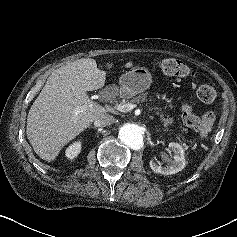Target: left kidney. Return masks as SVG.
I'll return each mask as SVG.
<instances>
[{
  "label": "left kidney",
  "instance_id": "1",
  "mask_svg": "<svg viewBox=\"0 0 237 237\" xmlns=\"http://www.w3.org/2000/svg\"><path fill=\"white\" fill-rule=\"evenodd\" d=\"M169 149L174 154L173 160L166 158L168 165L166 167H162L154 162L152 159L150 161V168L155 173H161L164 175L175 174L181 171L185 165L186 161L184 158V150L181 145L178 143L171 142L169 143Z\"/></svg>",
  "mask_w": 237,
  "mask_h": 237
}]
</instances>
